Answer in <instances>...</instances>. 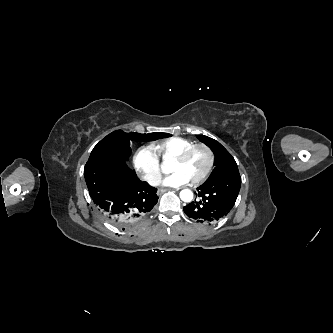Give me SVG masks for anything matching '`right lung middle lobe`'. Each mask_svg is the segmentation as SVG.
<instances>
[{
	"mask_svg": "<svg viewBox=\"0 0 333 333\" xmlns=\"http://www.w3.org/2000/svg\"><path fill=\"white\" fill-rule=\"evenodd\" d=\"M158 134H139L135 132L125 133L117 130L102 139L92 150L89 159L93 158H112L121 161H127L131 154L130 140H157L161 137L168 136Z\"/></svg>",
	"mask_w": 333,
	"mask_h": 333,
	"instance_id": "dd1d6c3e",
	"label": "right lung middle lobe"
}]
</instances>
